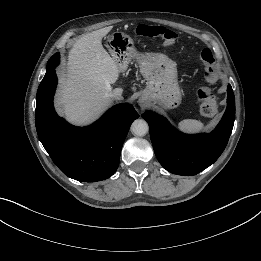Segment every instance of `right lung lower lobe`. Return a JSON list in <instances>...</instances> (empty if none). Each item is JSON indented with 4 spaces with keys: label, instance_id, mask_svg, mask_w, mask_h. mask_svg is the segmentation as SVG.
Here are the masks:
<instances>
[{
    "label": "right lung lower lobe",
    "instance_id": "1",
    "mask_svg": "<svg viewBox=\"0 0 261 261\" xmlns=\"http://www.w3.org/2000/svg\"><path fill=\"white\" fill-rule=\"evenodd\" d=\"M56 85L55 70L50 69L37 91L35 123L41 143L68 177L84 182L109 178L118 168L122 145L139 114L132 105L119 104L88 127L72 126L55 112Z\"/></svg>",
    "mask_w": 261,
    "mask_h": 261
}]
</instances>
